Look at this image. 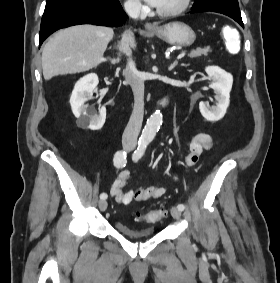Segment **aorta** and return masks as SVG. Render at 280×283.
Returning <instances> with one entry per match:
<instances>
[{"label": "aorta", "instance_id": "obj_1", "mask_svg": "<svg viewBox=\"0 0 280 283\" xmlns=\"http://www.w3.org/2000/svg\"><path fill=\"white\" fill-rule=\"evenodd\" d=\"M163 116L159 110H156L147 120L145 128L142 131L141 143L151 142L162 124Z\"/></svg>", "mask_w": 280, "mask_h": 283}]
</instances>
